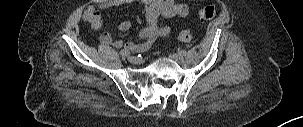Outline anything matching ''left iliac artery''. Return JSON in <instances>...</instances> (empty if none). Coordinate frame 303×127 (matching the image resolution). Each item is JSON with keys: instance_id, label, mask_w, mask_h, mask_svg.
Masks as SVG:
<instances>
[{"instance_id": "1", "label": "left iliac artery", "mask_w": 303, "mask_h": 127, "mask_svg": "<svg viewBox=\"0 0 303 127\" xmlns=\"http://www.w3.org/2000/svg\"><path fill=\"white\" fill-rule=\"evenodd\" d=\"M186 50H184V49H182V50H180L179 51V54L181 55V56H186Z\"/></svg>"}]
</instances>
